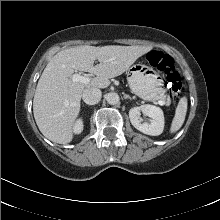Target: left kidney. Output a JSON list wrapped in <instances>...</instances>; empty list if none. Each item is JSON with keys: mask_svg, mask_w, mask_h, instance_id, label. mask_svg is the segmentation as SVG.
<instances>
[{"mask_svg": "<svg viewBox=\"0 0 220 220\" xmlns=\"http://www.w3.org/2000/svg\"><path fill=\"white\" fill-rule=\"evenodd\" d=\"M140 112L150 117V123H141L139 120ZM129 118L131 124L140 132L158 136L164 129V114L163 111L156 106L145 104L139 107H133L129 111Z\"/></svg>", "mask_w": 220, "mask_h": 220, "instance_id": "5707ae66", "label": "left kidney"}]
</instances>
